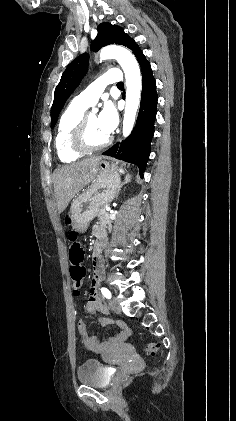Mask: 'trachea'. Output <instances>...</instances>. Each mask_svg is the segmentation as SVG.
Listing matches in <instances>:
<instances>
[{
  "label": "trachea",
  "instance_id": "1",
  "mask_svg": "<svg viewBox=\"0 0 236 421\" xmlns=\"http://www.w3.org/2000/svg\"><path fill=\"white\" fill-rule=\"evenodd\" d=\"M117 86H118V87H121V86L123 87V86H124V83H123V82H118V83H117Z\"/></svg>",
  "mask_w": 236,
  "mask_h": 421
}]
</instances>
